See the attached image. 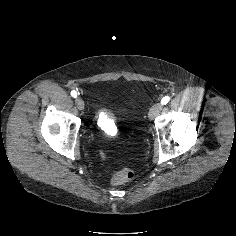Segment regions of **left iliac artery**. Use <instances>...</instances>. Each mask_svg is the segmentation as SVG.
Segmentation results:
<instances>
[{"label":"left iliac artery","instance_id":"obj_1","mask_svg":"<svg viewBox=\"0 0 236 236\" xmlns=\"http://www.w3.org/2000/svg\"><path fill=\"white\" fill-rule=\"evenodd\" d=\"M170 100V97L169 96H165L162 100H161V104L162 105H165L169 102Z\"/></svg>","mask_w":236,"mask_h":236}]
</instances>
